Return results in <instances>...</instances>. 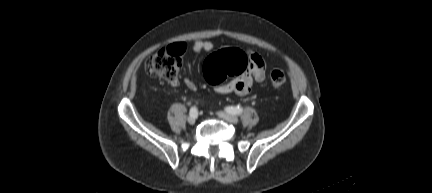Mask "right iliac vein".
I'll use <instances>...</instances> for the list:
<instances>
[{
	"label": "right iliac vein",
	"mask_w": 432,
	"mask_h": 193,
	"mask_svg": "<svg viewBox=\"0 0 432 193\" xmlns=\"http://www.w3.org/2000/svg\"><path fill=\"white\" fill-rule=\"evenodd\" d=\"M197 120V116H189L187 121L189 124H194Z\"/></svg>",
	"instance_id": "1"
}]
</instances>
